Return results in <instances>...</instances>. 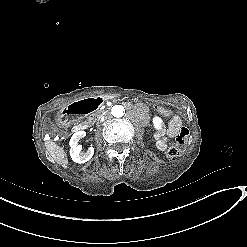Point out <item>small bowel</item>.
Masks as SVG:
<instances>
[{"instance_id":"small-bowel-1","label":"small bowel","mask_w":247,"mask_h":247,"mask_svg":"<svg viewBox=\"0 0 247 247\" xmlns=\"http://www.w3.org/2000/svg\"><path fill=\"white\" fill-rule=\"evenodd\" d=\"M181 128H182V123H181L180 118L178 116H173L169 123V127L167 130V137L163 135L156 136L157 148L161 151H164L167 148L168 138L176 137L178 133L180 132Z\"/></svg>"}]
</instances>
